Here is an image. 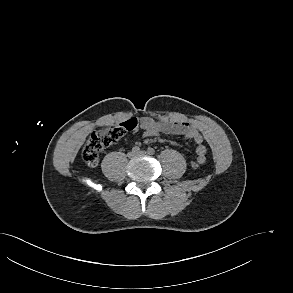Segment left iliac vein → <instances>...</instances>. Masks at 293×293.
I'll list each match as a JSON object with an SVG mask.
<instances>
[{
    "label": "left iliac vein",
    "instance_id": "obj_1",
    "mask_svg": "<svg viewBox=\"0 0 293 293\" xmlns=\"http://www.w3.org/2000/svg\"><path fill=\"white\" fill-rule=\"evenodd\" d=\"M146 154V151H140L137 153V155H145Z\"/></svg>",
    "mask_w": 293,
    "mask_h": 293
}]
</instances>
